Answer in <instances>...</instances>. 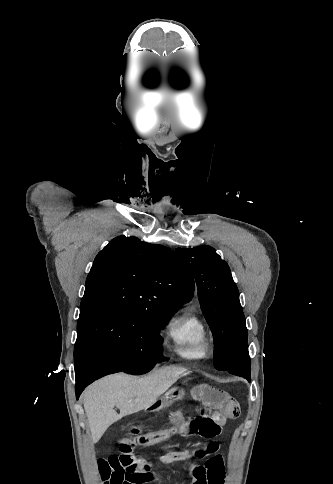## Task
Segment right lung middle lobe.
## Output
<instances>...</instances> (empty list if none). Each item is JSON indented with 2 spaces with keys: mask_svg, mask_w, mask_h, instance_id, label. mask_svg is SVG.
<instances>
[{
  "mask_svg": "<svg viewBox=\"0 0 333 484\" xmlns=\"http://www.w3.org/2000/svg\"><path fill=\"white\" fill-rule=\"evenodd\" d=\"M172 314L123 306L80 307L75 366L93 348L107 354L127 373L149 371L166 360L161 354L159 330Z\"/></svg>",
  "mask_w": 333,
  "mask_h": 484,
  "instance_id": "right-lung-middle-lobe-1",
  "label": "right lung middle lobe"
}]
</instances>
